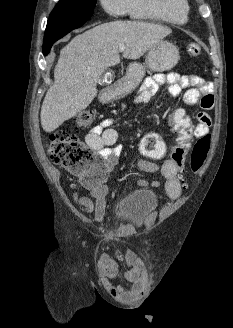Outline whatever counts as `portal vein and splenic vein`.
Returning <instances> with one entry per match:
<instances>
[{
    "instance_id": "obj_1",
    "label": "portal vein and splenic vein",
    "mask_w": 233,
    "mask_h": 328,
    "mask_svg": "<svg viewBox=\"0 0 233 328\" xmlns=\"http://www.w3.org/2000/svg\"><path fill=\"white\" fill-rule=\"evenodd\" d=\"M124 49H125V46H124V45H120V46H119V51H120V52H123Z\"/></svg>"
}]
</instances>
